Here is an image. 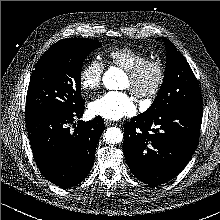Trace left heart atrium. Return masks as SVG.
<instances>
[{"label":"left heart atrium","mask_w":220,"mask_h":220,"mask_svg":"<svg viewBox=\"0 0 220 220\" xmlns=\"http://www.w3.org/2000/svg\"><path fill=\"white\" fill-rule=\"evenodd\" d=\"M134 98L126 92L110 91L89 105L90 112L107 120H119L136 113Z\"/></svg>","instance_id":"1"}]
</instances>
